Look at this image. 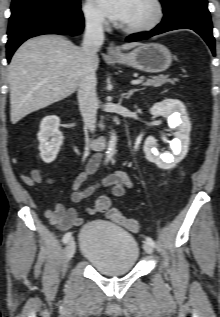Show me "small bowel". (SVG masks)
<instances>
[{"label":"small bowel","instance_id":"obj_1","mask_svg":"<svg viewBox=\"0 0 220 317\" xmlns=\"http://www.w3.org/2000/svg\"><path fill=\"white\" fill-rule=\"evenodd\" d=\"M99 164L100 158H93L88 162L84 171L75 178L72 183V193L70 194V201L72 203H78L91 196L101 187L110 188V194L114 197L123 196L125 189L132 187V181L126 173L122 171H113L101 181L86 188H82L88 177L97 170ZM21 180L24 184L31 187H34L42 182H46L48 184H52L54 182V179L51 177L43 178L40 171L37 169L33 170L29 175H22ZM107 200H109V198L105 195L98 197L93 206L86 208V212L89 215H96L105 212L103 203ZM44 214L52 225L63 231L79 226L83 222V219L79 217L75 208L66 207L63 204H58L54 208H46L44 210Z\"/></svg>","mask_w":220,"mask_h":317}]
</instances>
